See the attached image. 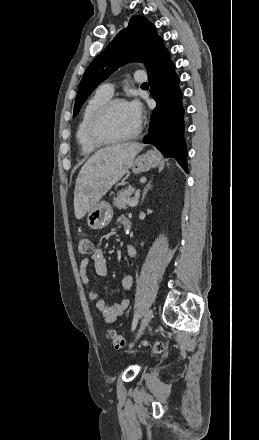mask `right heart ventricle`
<instances>
[{
	"instance_id": "obj_1",
	"label": "right heart ventricle",
	"mask_w": 259,
	"mask_h": 440,
	"mask_svg": "<svg viewBox=\"0 0 259 440\" xmlns=\"http://www.w3.org/2000/svg\"><path fill=\"white\" fill-rule=\"evenodd\" d=\"M111 98L100 90L86 102L76 129V141L83 154H91L101 146L93 144L87 137V126L94 112Z\"/></svg>"
}]
</instances>
